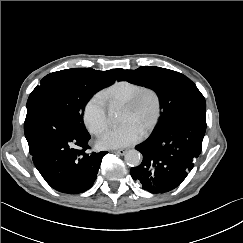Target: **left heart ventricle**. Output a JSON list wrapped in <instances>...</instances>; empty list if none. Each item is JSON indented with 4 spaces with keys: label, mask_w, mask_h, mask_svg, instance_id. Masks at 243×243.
<instances>
[{
    "label": "left heart ventricle",
    "mask_w": 243,
    "mask_h": 243,
    "mask_svg": "<svg viewBox=\"0 0 243 243\" xmlns=\"http://www.w3.org/2000/svg\"><path fill=\"white\" fill-rule=\"evenodd\" d=\"M156 113V102L152 95H146L137 110H123L122 123H132L143 133L151 125Z\"/></svg>",
    "instance_id": "1"
}]
</instances>
